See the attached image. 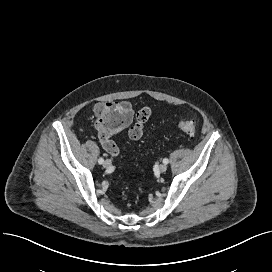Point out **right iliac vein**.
Returning <instances> with one entry per match:
<instances>
[{"mask_svg":"<svg viewBox=\"0 0 272 272\" xmlns=\"http://www.w3.org/2000/svg\"><path fill=\"white\" fill-rule=\"evenodd\" d=\"M103 166L105 167V168H108V167H110L111 166V161L110 160H105V162L103 163Z\"/></svg>","mask_w":272,"mask_h":272,"instance_id":"1","label":"right iliac vein"}]
</instances>
